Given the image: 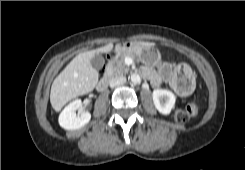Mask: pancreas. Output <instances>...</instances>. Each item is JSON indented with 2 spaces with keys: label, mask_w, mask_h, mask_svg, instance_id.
<instances>
[{
  "label": "pancreas",
  "mask_w": 245,
  "mask_h": 170,
  "mask_svg": "<svg viewBox=\"0 0 245 170\" xmlns=\"http://www.w3.org/2000/svg\"><path fill=\"white\" fill-rule=\"evenodd\" d=\"M126 57H133V55L127 51H120L108 68L109 75L112 77L121 76L129 71V66L125 64L124 59Z\"/></svg>",
  "instance_id": "1"
}]
</instances>
